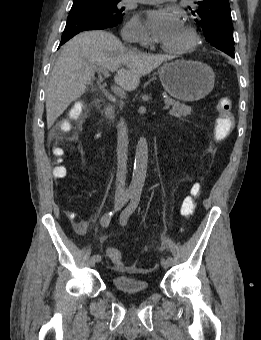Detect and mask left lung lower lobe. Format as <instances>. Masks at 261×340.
<instances>
[{
    "label": "left lung lower lobe",
    "instance_id": "0a47b994",
    "mask_svg": "<svg viewBox=\"0 0 261 340\" xmlns=\"http://www.w3.org/2000/svg\"><path fill=\"white\" fill-rule=\"evenodd\" d=\"M228 55H230L231 57H234V54H228Z\"/></svg>",
    "mask_w": 261,
    "mask_h": 340
}]
</instances>
